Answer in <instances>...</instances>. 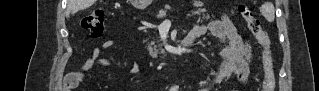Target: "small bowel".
Returning <instances> with one entry per match:
<instances>
[{
    "label": "small bowel",
    "instance_id": "1",
    "mask_svg": "<svg viewBox=\"0 0 319 91\" xmlns=\"http://www.w3.org/2000/svg\"><path fill=\"white\" fill-rule=\"evenodd\" d=\"M207 30L220 42L221 47L217 51L219 63L211 72L208 79L201 85L199 91H210L212 86L230 74H235L240 83H245L250 73V66L253 59L252 46L249 40H244L238 33L236 26L227 15L210 22L207 25L194 24L189 36L202 35ZM116 45L113 39H105L101 48L96 47L90 56L84 60L82 68L90 70L96 66H110L111 61L102 56V49H111ZM135 67L130 69L133 74ZM79 74H74L70 81L71 86L78 83Z\"/></svg>",
    "mask_w": 319,
    "mask_h": 91
}]
</instances>
